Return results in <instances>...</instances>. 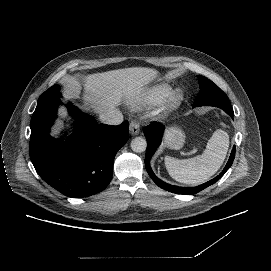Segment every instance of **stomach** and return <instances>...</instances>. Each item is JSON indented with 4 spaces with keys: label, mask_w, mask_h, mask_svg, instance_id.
Wrapping results in <instances>:
<instances>
[{
    "label": "stomach",
    "mask_w": 271,
    "mask_h": 271,
    "mask_svg": "<svg viewBox=\"0 0 271 271\" xmlns=\"http://www.w3.org/2000/svg\"><path fill=\"white\" fill-rule=\"evenodd\" d=\"M184 143V136L181 131L172 129L166 138V145L170 148L179 149Z\"/></svg>",
    "instance_id": "obj_1"
}]
</instances>
